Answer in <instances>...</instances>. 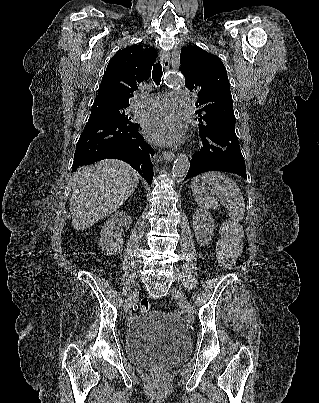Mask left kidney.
I'll use <instances>...</instances> for the list:
<instances>
[{
    "label": "left kidney",
    "instance_id": "5707ae66",
    "mask_svg": "<svg viewBox=\"0 0 319 403\" xmlns=\"http://www.w3.org/2000/svg\"><path fill=\"white\" fill-rule=\"evenodd\" d=\"M193 228L199 245H208L212 240L215 228L211 213L206 210L197 209L193 214Z\"/></svg>",
    "mask_w": 319,
    "mask_h": 403
}]
</instances>
